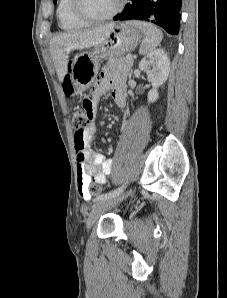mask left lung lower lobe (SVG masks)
I'll use <instances>...</instances> for the list:
<instances>
[{"mask_svg": "<svg viewBox=\"0 0 227 298\" xmlns=\"http://www.w3.org/2000/svg\"><path fill=\"white\" fill-rule=\"evenodd\" d=\"M182 0H129L115 21L145 20L159 25L168 33L178 34Z\"/></svg>", "mask_w": 227, "mask_h": 298, "instance_id": "0a47b994", "label": "left lung lower lobe"}]
</instances>
